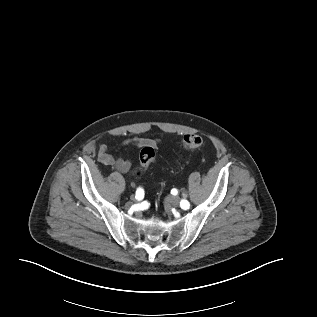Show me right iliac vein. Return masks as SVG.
<instances>
[{
    "label": "right iliac vein",
    "mask_w": 317,
    "mask_h": 317,
    "mask_svg": "<svg viewBox=\"0 0 317 317\" xmlns=\"http://www.w3.org/2000/svg\"><path fill=\"white\" fill-rule=\"evenodd\" d=\"M131 201H133V202H135L136 201V198H135V196H131Z\"/></svg>",
    "instance_id": "63e3f726"
}]
</instances>
